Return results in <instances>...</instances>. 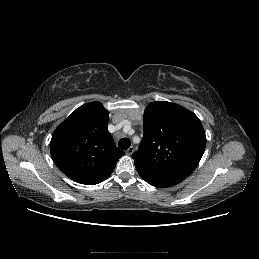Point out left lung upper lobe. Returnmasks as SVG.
Wrapping results in <instances>:
<instances>
[{"instance_id":"left-lung-upper-lobe-1","label":"left lung upper lobe","mask_w":259,"mask_h":259,"mask_svg":"<svg viewBox=\"0 0 259 259\" xmlns=\"http://www.w3.org/2000/svg\"><path fill=\"white\" fill-rule=\"evenodd\" d=\"M144 135L135 164L180 180L199 164L206 135L199 118L186 108L167 101L151 102L144 111Z\"/></svg>"}]
</instances>
